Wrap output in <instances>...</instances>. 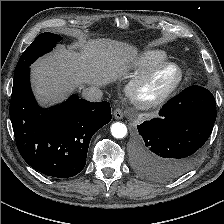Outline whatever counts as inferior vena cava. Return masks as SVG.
I'll use <instances>...</instances> for the list:
<instances>
[{
    "label": "inferior vena cava",
    "mask_w": 224,
    "mask_h": 224,
    "mask_svg": "<svg viewBox=\"0 0 224 224\" xmlns=\"http://www.w3.org/2000/svg\"><path fill=\"white\" fill-rule=\"evenodd\" d=\"M102 91L98 87H88L82 91V97L91 102H98L102 98Z\"/></svg>",
    "instance_id": "inferior-vena-cava-1"
}]
</instances>
